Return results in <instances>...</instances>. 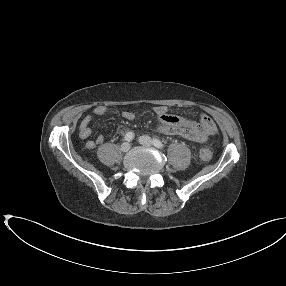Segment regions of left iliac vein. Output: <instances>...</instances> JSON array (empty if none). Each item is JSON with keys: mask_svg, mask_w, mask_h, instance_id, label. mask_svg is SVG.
<instances>
[{"mask_svg": "<svg viewBox=\"0 0 286 286\" xmlns=\"http://www.w3.org/2000/svg\"><path fill=\"white\" fill-rule=\"evenodd\" d=\"M139 142L140 144L144 145V146H151L153 144V140L149 137V136H141L139 138Z\"/></svg>", "mask_w": 286, "mask_h": 286, "instance_id": "4c4485c4", "label": "left iliac vein"}]
</instances>
